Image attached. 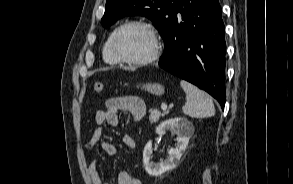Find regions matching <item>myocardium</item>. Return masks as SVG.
Returning a JSON list of instances; mask_svg holds the SVG:
<instances>
[{
  "label": "myocardium",
  "instance_id": "myocardium-1",
  "mask_svg": "<svg viewBox=\"0 0 293 184\" xmlns=\"http://www.w3.org/2000/svg\"><path fill=\"white\" fill-rule=\"evenodd\" d=\"M132 26H138V27H142V28L146 29L152 37V40H153L152 52L144 58H139V59L126 58V57L122 56L117 49L118 36L120 35V33L123 30H125L128 27H132ZM110 47H111V51H112L113 56L117 59L118 62L130 64V65L150 64V63L156 61L162 53V41H161V38H160V35H159L157 29L152 24H150L146 21H142V20L128 21V22L122 24L121 26H119L115 30V32L111 38Z\"/></svg>",
  "mask_w": 293,
  "mask_h": 184
}]
</instances>
